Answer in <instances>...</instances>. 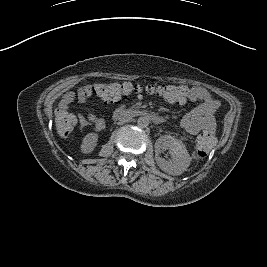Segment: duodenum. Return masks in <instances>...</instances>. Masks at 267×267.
Here are the masks:
<instances>
[{
    "mask_svg": "<svg viewBox=\"0 0 267 267\" xmlns=\"http://www.w3.org/2000/svg\"><path fill=\"white\" fill-rule=\"evenodd\" d=\"M114 119L119 118H147L154 124H161L163 122V118L159 115H155L152 113H149L148 111L141 110V109H116L113 115Z\"/></svg>",
    "mask_w": 267,
    "mask_h": 267,
    "instance_id": "410a0bca",
    "label": "duodenum"
}]
</instances>
